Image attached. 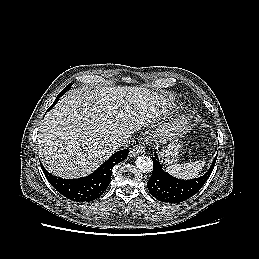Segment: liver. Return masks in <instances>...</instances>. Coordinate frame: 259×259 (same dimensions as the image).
Listing matches in <instances>:
<instances>
[{"label": "liver", "mask_w": 259, "mask_h": 259, "mask_svg": "<svg viewBox=\"0 0 259 259\" xmlns=\"http://www.w3.org/2000/svg\"><path fill=\"white\" fill-rule=\"evenodd\" d=\"M166 105L143 87L74 89L42 121L37 140L42 164L61 178L86 176L111 156L117 140L155 122Z\"/></svg>", "instance_id": "obj_1"}]
</instances>
